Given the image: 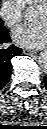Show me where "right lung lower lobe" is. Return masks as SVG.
<instances>
[{
	"label": "right lung lower lobe",
	"mask_w": 47,
	"mask_h": 129,
	"mask_svg": "<svg viewBox=\"0 0 47 129\" xmlns=\"http://www.w3.org/2000/svg\"><path fill=\"white\" fill-rule=\"evenodd\" d=\"M10 41V36L7 29L0 26V89H2L11 76L12 64L11 59L17 55H20L22 50L16 46H10L7 49H3L1 44Z\"/></svg>",
	"instance_id": "right-lung-lower-lobe-1"
}]
</instances>
